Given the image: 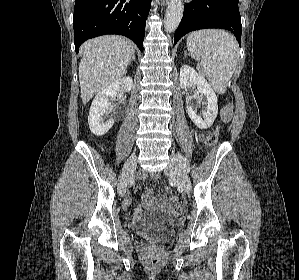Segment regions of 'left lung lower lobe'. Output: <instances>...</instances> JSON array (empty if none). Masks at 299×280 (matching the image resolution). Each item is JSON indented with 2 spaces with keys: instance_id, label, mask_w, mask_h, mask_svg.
<instances>
[{
  "instance_id": "left-lung-lower-lobe-1",
  "label": "left lung lower lobe",
  "mask_w": 299,
  "mask_h": 280,
  "mask_svg": "<svg viewBox=\"0 0 299 280\" xmlns=\"http://www.w3.org/2000/svg\"><path fill=\"white\" fill-rule=\"evenodd\" d=\"M205 28L227 29L240 44L242 25L238 0H193L187 4L174 43L190 31Z\"/></svg>"
}]
</instances>
